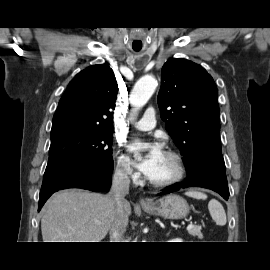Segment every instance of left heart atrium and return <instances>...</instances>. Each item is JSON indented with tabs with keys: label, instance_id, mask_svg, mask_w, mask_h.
Returning a JSON list of instances; mask_svg holds the SVG:
<instances>
[{
	"label": "left heart atrium",
	"instance_id": "39dd6f15",
	"mask_svg": "<svg viewBox=\"0 0 270 270\" xmlns=\"http://www.w3.org/2000/svg\"><path fill=\"white\" fill-rule=\"evenodd\" d=\"M129 151L135 156L142 154L140 158L135 160V164L148 178L154 174L165 154L159 143H132L129 146Z\"/></svg>",
	"mask_w": 270,
	"mask_h": 270
}]
</instances>
